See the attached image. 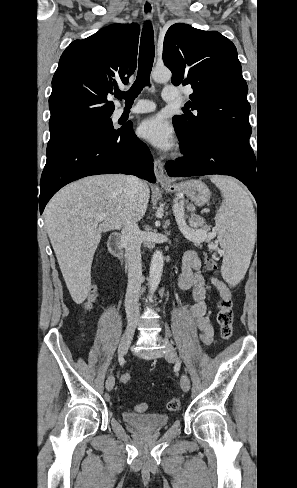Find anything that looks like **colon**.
Here are the masks:
<instances>
[{
    "instance_id": "1",
    "label": "colon",
    "mask_w": 297,
    "mask_h": 488,
    "mask_svg": "<svg viewBox=\"0 0 297 488\" xmlns=\"http://www.w3.org/2000/svg\"><path fill=\"white\" fill-rule=\"evenodd\" d=\"M204 267L207 271L216 273L218 270V265L216 260L206 255L204 258ZM95 298V289L93 288L91 294L86 303V308L91 307V303ZM219 312L217 315V322L219 326V335L223 341H228L233 335V311L232 303L230 299L221 298L218 304ZM130 381V373L127 370L122 371L120 376V385L127 386ZM167 408L170 411H177L180 408V399L178 397H173L167 404ZM137 412H144L147 409L146 403L138 404L135 407Z\"/></svg>"
}]
</instances>
